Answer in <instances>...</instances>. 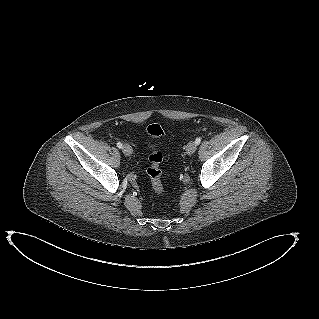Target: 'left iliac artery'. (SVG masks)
<instances>
[{"mask_svg": "<svg viewBox=\"0 0 319 319\" xmlns=\"http://www.w3.org/2000/svg\"><path fill=\"white\" fill-rule=\"evenodd\" d=\"M200 142H201V137H197L195 140V143L198 145V144H200Z\"/></svg>", "mask_w": 319, "mask_h": 319, "instance_id": "1", "label": "left iliac artery"}]
</instances>
